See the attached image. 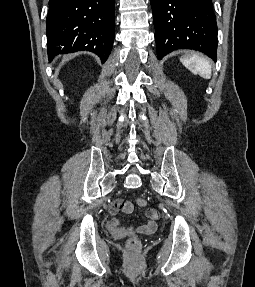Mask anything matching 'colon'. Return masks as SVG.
Masks as SVG:
<instances>
[{
  "label": "colon",
  "mask_w": 255,
  "mask_h": 287,
  "mask_svg": "<svg viewBox=\"0 0 255 287\" xmlns=\"http://www.w3.org/2000/svg\"><path fill=\"white\" fill-rule=\"evenodd\" d=\"M137 203H138V205L141 206V207H144V206H146V204H147L146 200H145V199H142V198L137 199ZM138 244H139V240H138L137 237H131V238L128 240V246H129L130 248H136V247L138 246Z\"/></svg>",
  "instance_id": "colon-1"
}]
</instances>
